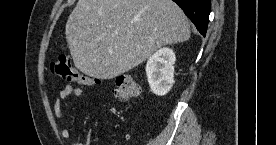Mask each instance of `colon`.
Masks as SVG:
<instances>
[{"label": "colon", "mask_w": 276, "mask_h": 145, "mask_svg": "<svg viewBox=\"0 0 276 145\" xmlns=\"http://www.w3.org/2000/svg\"><path fill=\"white\" fill-rule=\"evenodd\" d=\"M51 72L67 81H75L81 85H94L101 83L100 80L89 76L72 66L65 56L55 58L50 64ZM116 95L122 101H130L140 97L141 89L138 83L129 76L118 75L114 79Z\"/></svg>", "instance_id": "colon-1"}]
</instances>
